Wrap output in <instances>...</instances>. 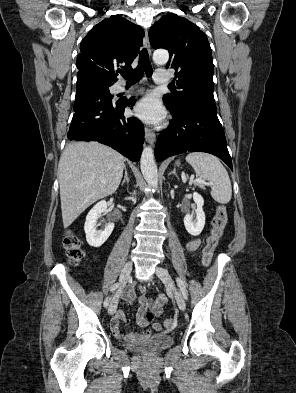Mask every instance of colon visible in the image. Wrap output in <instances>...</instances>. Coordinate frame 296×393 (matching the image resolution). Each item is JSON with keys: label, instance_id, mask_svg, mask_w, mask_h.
I'll return each mask as SVG.
<instances>
[{"label": "colon", "instance_id": "5ec220e1", "mask_svg": "<svg viewBox=\"0 0 296 393\" xmlns=\"http://www.w3.org/2000/svg\"><path fill=\"white\" fill-rule=\"evenodd\" d=\"M227 224V210L224 205H218L216 208L215 216L212 221V229L210 236L207 239V243L203 249L202 262L205 266L211 263L213 253L221 240L225 227ZM64 248L68 258L74 262L78 263L83 258V250L81 248L80 239L71 232H67L64 237ZM141 310V308H140ZM143 318L147 322H152L155 318V314L151 311H145L143 313ZM165 328L167 330H172L176 326V322L173 319H167L164 322Z\"/></svg>", "mask_w": 296, "mask_h": 393}]
</instances>
